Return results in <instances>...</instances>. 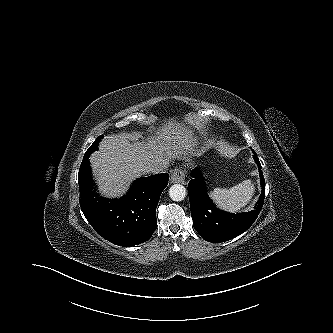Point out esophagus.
Instances as JSON below:
<instances>
[{
	"instance_id": "obj_1",
	"label": "esophagus",
	"mask_w": 333,
	"mask_h": 333,
	"mask_svg": "<svg viewBox=\"0 0 333 333\" xmlns=\"http://www.w3.org/2000/svg\"><path fill=\"white\" fill-rule=\"evenodd\" d=\"M185 179V173L181 169H174L171 177L170 182L171 183H183Z\"/></svg>"
}]
</instances>
